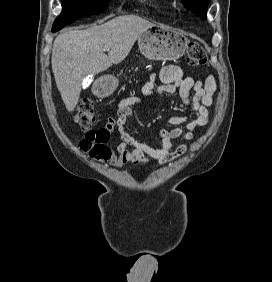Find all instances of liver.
Instances as JSON below:
<instances>
[{
	"label": "liver",
	"mask_w": 272,
	"mask_h": 282,
	"mask_svg": "<svg viewBox=\"0 0 272 282\" xmlns=\"http://www.w3.org/2000/svg\"><path fill=\"white\" fill-rule=\"evenodd\" d=\"M152 26L137 15H123L99 26L58 35L53 43L51 64L67 111L77 105L85 77L122 62L138 36ZM105 46H109L108 55L104 54Z\"/></svg>",
	"instance_id": "6515ba94"
}]
</instances>
